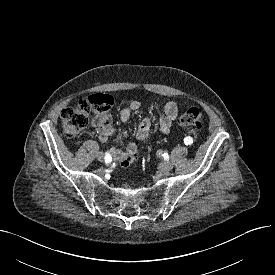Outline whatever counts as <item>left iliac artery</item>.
<instances>
[{"label":"left iliac artery","mask_w":275,"mask_h":275,"mask_svg":"<svg viewBox=\"0 0 275 275\" xmlns=\"http://www.w3.org/2000/svg\"><path fill=\"white\" fill-rule=\"evenodd\" d=\"M192 143H193V138H192V137L187 136V137L184 138V144H185V145L189 146V145H191Z\"/></svg>","instance_id":"obj_1"}]
</instances>
